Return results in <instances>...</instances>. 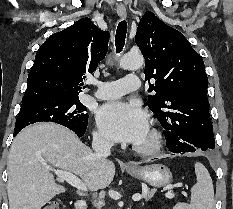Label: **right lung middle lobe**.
<instances>
[{
	"label": "right lung middle lobe",
	"mask_w": 233,
	"mask_h": 209,
	"mask_svg": "<svg viewBox=\"0 0 233 209\" xmlns=\"http://www.w3.org/2000/svg\"><path fill=\"white\" fill-rule=\"evenodd\" d=\"M36 122H54L69 129L83 130L87 127L88 114L79 98L42 99L22 103L15 129Z\"/></svg>",
	"instance_id": "1"
}]
</instances>
